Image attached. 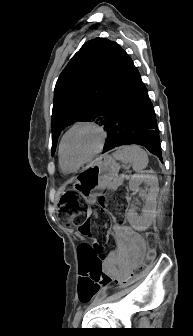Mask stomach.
<instances>
[{
    "mask_svg": "<svg viewBox=\"0 0 193 336\" xmlns=\"http://www.w3.org/2000/svg\"><path fill=\"white\" fill-rule=\"evenodd\" d=\"M119 165L108 155L101 156L83 168L73 184L89 204L95 202L97 192L110 188L112 180L117 176Z\"/></svg>",
    "mask_w": 193,
    "mask_h": 336,
    "instance_id": "obj_1",
    "label": "stomach"
}]
</instances>
